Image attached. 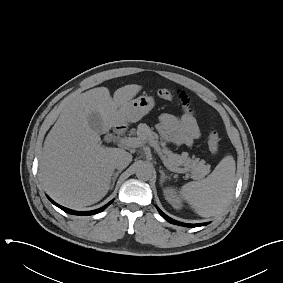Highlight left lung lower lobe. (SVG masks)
Wrapping results in <instances>:
<instances>
[{"label": "left lung lower lobe", "mask_w": 283, "mask_h": 283, "mask_svg": "<svg viewBox=\"0 0 283 283\" xmlns=\"http://www.w3.org/2000/svg\"><path fill=\"white\" fill-rule=\"evenodd\" d=\"M157 210L159 211L160 215L165 218L167 221H169L172 224H176V225H181V226H185V227H198V226H203L206 225L204 223H200V224H185V223H181L178 221H175L173 219H171L170 217H168L166 214H164L159 208H157Z\"/></svg>", "instance_id": "0a47b994"}]
</instances>
